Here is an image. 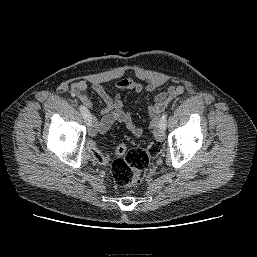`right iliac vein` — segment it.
<instances>
[{"instance_id":"1","label":"right iliac vein","mask_w":257,"mask_h":257,"mask_svg":"<svg viewBox=\"0 0 257 257\" xmlns=\"http://www.w3.org/2000/svg\"><path fill=\"white\" fill-rule=\"evenodd\" d=\"M92 122H93V117H91L90 121L88 122L90 124L89 126H92ZM89 135L91 137L95 136V132H94V129L92 127L89 129Z\"/></svg>"}]
</instances>
